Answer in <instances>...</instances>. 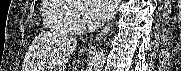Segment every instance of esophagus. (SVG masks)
<instances>
[{
    "label": "esophagus",
    "mask_w": 181,
    "mask_h": 71,
    "mask_svg": "<svg viewBox=\"0 0 181 71\" xmlns=\"http://www.w3.org/2000/svg\"><path fill=\"white\" fill-rule=\"evenodd\" d=\"M113 26V22L106 26L94 39V42H98L106 36Z\"/></svg>",
    "instance_id": "1"
}]
</instances>
